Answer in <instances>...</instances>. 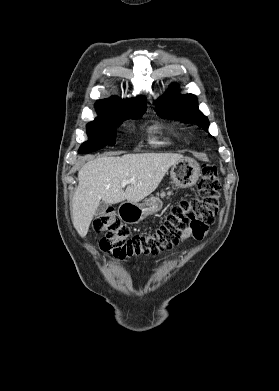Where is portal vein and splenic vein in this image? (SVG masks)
Returning <instances> with one entry per match:
<instances>
[{
  "mask_svg": "<svg viewBox=\"0 0 279 391\" xmlns=\"http://www.w3.org/2000/svg\"><path fill=\"white\" fill-rule=\"evenodd\" d=\"M134 182V180H124L123 182H122V186H125V185H127V184H129V183H133Z\"/></svg>",
  "mask_w": 279,
  "mask_h": 391,
  "instance_id": "portal-vein-and-splenic-vein-1",
  "label": "portal vein and splenic vein"
}]
</instances>
